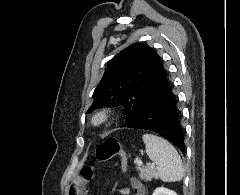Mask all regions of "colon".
I'll return each mask as SVG.
<instances>
[{
	"label": "colon",
	"mask_w": 240,
	"mask_h": 195,
	"mask_svg": "<svg viewBox=\"0 0 240 195\" xmlns=\"http://www.w3.org/2000/svg\"><path fill=\"white\" fill-rule=\"evenodd\" d=\"M115 155L119 159V171L126 173L128 171L127 152L121 150V145L117 140L113 138L106 139L97 149L98 159H109Z\"/></svg>",
	"instance_id": "5ec220e1"
}]
</instances>
